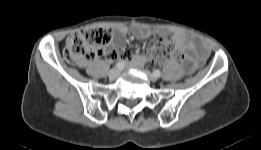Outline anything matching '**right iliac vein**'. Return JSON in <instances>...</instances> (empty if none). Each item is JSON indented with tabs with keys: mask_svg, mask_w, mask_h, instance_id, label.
Here are the masks:
<instances>
[{
	"mask_svg": "<svg viewBox=\"0 0 261 150\" xmlns=\"http://www.w3.org/2000/svg\"><path fill=\"white\" fill-rule=\"evenodd\" d=\"M119 74H120L119 69L113 68V69L110 70L108 75H109V78L116 79L119 76Z\"/></svg>",
	"mask_w": 261,
	"mask_h": 150,
	"instance_id": "obj_1",
	"label": "right iliac vein"
}]
</instances>
